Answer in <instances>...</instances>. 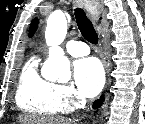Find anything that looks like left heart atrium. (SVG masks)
Segmentation results:
<instances>
[{"label": "left heart atrium", "mask_w": 145, "mask_h": 124, "mask_svg": "<svg viewBox=\"0 0 145 124\" xmlns=\"http://www.w3.org/2000/svg\"><path fill=\"white\" fill-rule=\"evenodd\" d=\"M74 82L86 97L97 95L104 85V71L96 58L77 60L73 66Z\"/></svg>", "instance_id": "left-heart-atrium-1"}]
</instances>
